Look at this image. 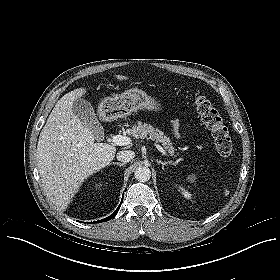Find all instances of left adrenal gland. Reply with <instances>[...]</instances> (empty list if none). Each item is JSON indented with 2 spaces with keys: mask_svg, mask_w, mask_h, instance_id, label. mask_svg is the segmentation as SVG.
Instances as JSON below:
<instances>
[{
  "mask_svg": "<svg viewBox=\"0 0 280 280\" xmlns=\"http://www.w3.org/2000/svg\"><path fill=\"white\" fill-rule=\"evenodd\" d=\"M156 162L158 163V164H161L162 165V169H164V166L165 165H167V164H172V160H170V161H165V162H163V161H161V160H156ZM174 164V163H173Z\"/></svg>",
  "mask_w": 280,
  "mask_h": 280,
  "instance_id": "a2214340",
  "label": "left adrenal gland"
}]
</instances>
